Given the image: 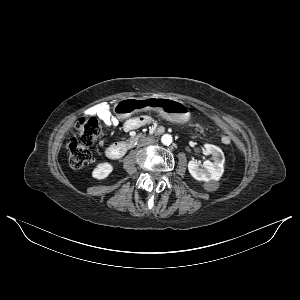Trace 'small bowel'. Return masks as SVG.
<instances>
[{
  "label": "small bowel",
  "instance_id": "1",
  "mask_svg": "<svg viewBox=\"0 0 300 300\" xmlns=\"http://www.w3.org/2000/svg\"><path fill=\"white\" fill-rule=\"evenodd\" d=\"M88 113L90 115H96L98 117H101L105 120H108L109 119V115H108V111L102 107V106H92L89 110H88ZM146 120H142L141 118L137 119H131L127 122L126 124V127L128 129H134V128H138L140 126H142L144 123H145ZM223 141L225 143L229 142V138L228 137H224L223 138Z\"/></svg>",
  "mask_w": 300,
  "mask_h": 300
}]
</instances>
